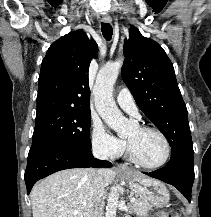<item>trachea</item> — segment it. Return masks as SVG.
<instances>
[{"label":"trachea","mask_w":211,"mask_h":217,"mask_svg":"<svg viewBox=\"0 0 211 217\" xmlns=\"http://www.w3.org/2000/svg\"><path fill=\"white\" fill-rule=\"evenodd\" d=\"M101 30L104 38L109 41L112 38L113 29L112 26L109 23H102L101 24Z\"/></svg>","instance_id":"3493384b"}]
</instances>
